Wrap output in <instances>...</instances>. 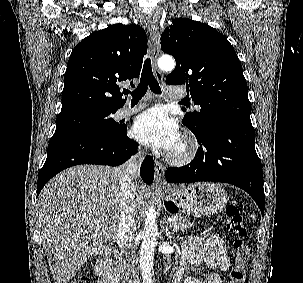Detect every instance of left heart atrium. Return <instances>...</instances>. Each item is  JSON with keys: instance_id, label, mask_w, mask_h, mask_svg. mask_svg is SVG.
<instances>
[{"instance_id": "1", "label": "left heart atrium", "mask_w": 303, "mask_h": 283, "mask_svg": "<svg viewBox=\"0 0 303 283\" xmlns=\"http://www.w3.org/2000/svg\"><path fill=\"white\" fill-rule=\"evenodd\" d=\"M133 136L155 149L173 150L180 142V133L174 119L160 106L150 108L136 119Z\"/></svg>"}]
</instances>
